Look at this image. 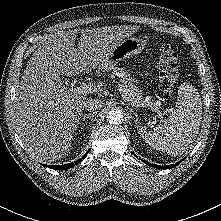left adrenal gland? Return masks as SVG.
Here are the masks:
<instances>
[{"mask_svg": "<svg viewBox=\"0 0 221 221\" xmlns=\"http://www.w3.org/2000/svg\"><path fill=\"white\" fill-rule=\"evenodd\" d=\"M131 111L133 112L134 116L136 117V121H138V115H137V113H136L134 110H131Z\"/></svg>", "mask_w": 221, "mask_h": 221, "instance_id": "left-adrenal-gland-1", "label": "left adrenal gland"}]
</instances>
